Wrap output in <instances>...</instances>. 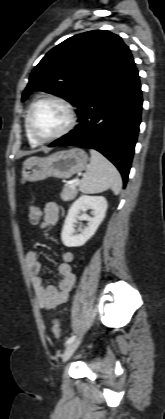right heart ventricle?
<instances>
[{
    "label": "right heart ventricle",
    "mask_w": 165,
    "mask_h": 419,
    "mask_svg": "<svg viewBox=\"0 0 165 419\" xmlns=\"http://www.w3.org/2000/svg\"><path fill=\"white\" fill-rule=\"evenodd\" d=\"M27 118V117H26ZM26 118H25V130H26V136H27V139H28V142H29V144L30 145H32V146H37L38 145V143L32 138V136L30 135V133H29V131H28V129H27V122H26Z\"/></svg>",
    "instance_id": "right-heart-ventricle-1"
}]
</instances>
